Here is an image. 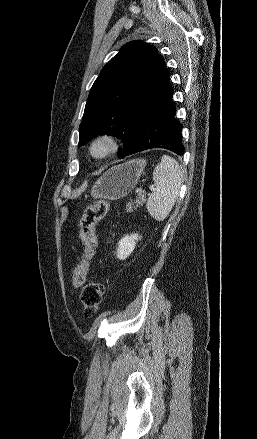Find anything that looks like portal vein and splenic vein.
<instances>
[{
	"label": "portal vein and splenic vein",
	"instance_id": "18ae733b",
	"mask_svg": "<svg viewBox=\"0 0 257 439\" xmlns=\"http://www.w3.org/2000/svg\"><path fill=\"white\" fill-rule=\"evenodd\" d=\"M154 188H153V186H150V190H153Z\"/></svg>",
	"mask_w": 257,
	"mask_h": 439
}]
</instances>
